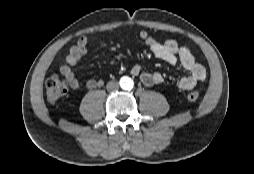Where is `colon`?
<instances>
[{
	"mask_svg": "<svg viewBox=\"0 0 254 174\" xmlns=\"http://www.w3.org/2000/svg\"><path fill=\"white\" fill-rule=\"evenodd\" d=\"M68 91V85L66 81L54 74L51 75L45 83L46 98L49 102L55 103L60 100ZM187 99L191 102H196L199 99V93L191 91L187 94Z\"/></svg>",
	"mask_w": 254,
	"mask_h": 174,
	"instance_id": "colon-1",
	"label": "colon"
}]
</instances>
